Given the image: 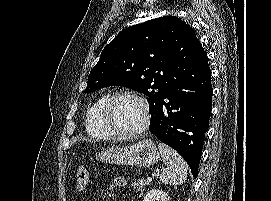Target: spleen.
<instances>
[{"label":"spleen","instance_id":"spleen-1","mask_svg":"<svg viewBox=\"0 0 271 201\" xmlns=\"http://www.w3.org/2000/svg\"><path fill=\"white\" fill-rule=\"evenodd\" d=\"M158 149L166 169L160 175V181L168 185H181L187 179V164L184 159L171 147L159 143Z\"/></svg>","mask_w":271,"mask_h":201}]
</instances>
